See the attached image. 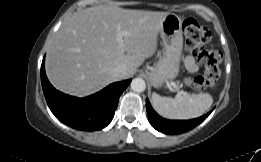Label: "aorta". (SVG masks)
I'll use <instances>...</instances> for the list:
<instances>
[{
  "label": "aorta",
  "instance_id": "762f6f07",
  "mask_svg": "<svg viewBox=\"0 0 261 162\" xmlns=\"http://www.w3.org/2000/svg\"><path fill=\"white\" fill-rule=\"evenodd\" d=\"M131 89L134 92L141 93L146 89V83L142 78H135L131 82Z\"/></svg>",
  "mask_w": 261,
  "mask_h": 162
}]
</instances>
